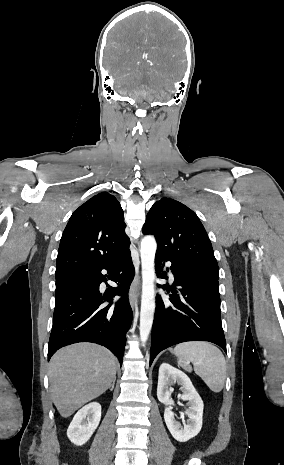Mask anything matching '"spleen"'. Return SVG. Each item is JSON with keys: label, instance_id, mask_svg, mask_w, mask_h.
<instances>
[{"label": "spleen", "instance_id": "3e777b00", "mask_svg": "<svg viewBox=\"0 0 284 465\" xmlns=\"http://www.w3.org/2000/svg\"><path fill=\"white\" fill-rule=\"evenodd\" d=\"M174 355L178 357V365L191 373L193 371L189 361L194 365L196 375H199L213 393H220L226 379V361L221 351L203 341L192 343H180L174 349Z\"/></svg>", "mask_w": 284, "mask_h": 465}]
</instances>
